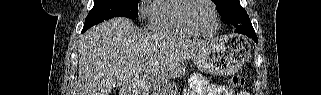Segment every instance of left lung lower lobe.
<instances>
[{
    "mask_svg": "<svg viewBox=\"0 0 321 95\" xmlns=\"http://www.w3.org/2000/svg\"><path fill=\"white\" fill-rule=\"evenodd\" d=\"M234 31L236 33L244 34L250 38H252L255 42H257V36L254 32V29L252 27L251 23L248 24H240L237 27L234 28Z\"/></svg>",
    "mask_w": 321,
    "mask_h": 95,
    "instance_id": "1",
    "label": "left lung lower lobe"
}]
</instances>
